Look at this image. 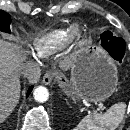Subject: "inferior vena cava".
Segmentation results:
<instances>
[{"label": "inferior vena cava", "mask_w": 130, "mask_h": 130, "mask_svg": "<svg viewBox=\"0 0 130 130\" xmlns=\"http://www.w3.org/2000/svg\"><path fill=\"white\" fill-rule=\"evenodd\" d=\"M20 70L30 83L38 82L41 76V69L37 63L26 62L21 66Z\"/></svg>", "instance_id": "602c4592"}]
</instances>
